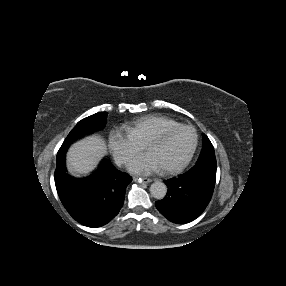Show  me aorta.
I'll return each mask as SVG.
<instances>
[{
    "instance_id": "762f6f07",
    "label": "aorta",
    "mask_w": 286,
    "mask_h": 286,
    "mask_svg": "<svg viewBox=\"0 0 286 286\" xmlns=\"http://www.w3.org/2000/svg\"><path fill=\"white\" fill-rule=\"evenodd\" d=\"M150 193L155 199H163L167 193V186L160 181H156L150 186Z\"/></svg>"
}]
</instances>
